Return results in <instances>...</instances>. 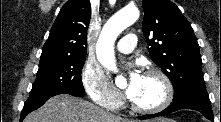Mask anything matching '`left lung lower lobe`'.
I'll return each mask as SVG.
<instances>
[{
    "label": "left lung lower lobe",
    "instance_id": "0a47b994",
    "mask_svg": "<svg viewBox=\"0 0 221 122\" xmlns=\"http://www.w3.org/2000/svg\"><path fill=\"white\" fill-rule=\"evenodd\" d=\"M180 109H193L201 112L207 119L214 121L211 103L207 91H191L179 98L173 99V102L165 110L152 114L140 116V119H149L153 117L163 116Z\"/></svg>",
    "mask_w": 221,
    "mask_h": 122
}]
</instances>
